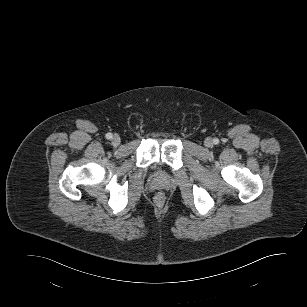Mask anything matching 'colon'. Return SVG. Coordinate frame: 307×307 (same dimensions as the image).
<instances>
[{"mask_svg": "<svg viewBox=\"0 0 307 307\" xmlns=\"http://www.w3.org/2000/svg\"><path fill=\"white\" fill-rule=\"evenodd\" d=\"M157 200H158V201H163V200H164V195L161 194V193H159V194L157 195Z\"/></svg>", "mask_w": 307, "mask_h": 307, "instance_id": "1", "label": "colon"}]
</instances>
